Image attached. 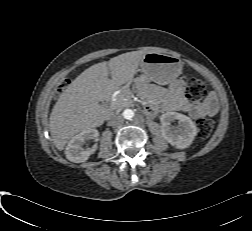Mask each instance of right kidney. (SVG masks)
I'll list each match as a JSON object with an SVG mask.
<instances>
[{"label":"right kidney","mask_w":252,"mask_h":231,"mask_svg":"<svg viewBox=\"0 0 252 231\" xmlns=\"http://www.w3.org/2000/svg\"><path fill=\"white\" fill-rule=\"evenodd\" d=\"M98 132L94 129L84 131L75 136L66 149V157L76 163L85 162L90 156V152L84 148L87 140L97 136Z\"/></svg>","instance_id":"1"}]
</instances>
